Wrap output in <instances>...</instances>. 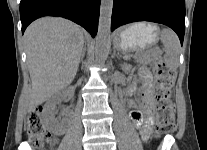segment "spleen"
Returning <instances> with one entry per match:
<instances>
[{
  "mask_svg": "<svg viewBox=\"0 0 207 150\" xmlns=\"http://www.w3.org/2000/svg\"><path fill=\"white\" fill-rule=\"evenodd\" d=\"M161 42L165 48V64L170 69H176L179 64L180 42L178 36L170 29H163Z\"/></svg>",
  "mask_w": 207,
  "mask_h": 150,
  "instance_id": "obj_1",
  "label": "spleen"
}]
</instances>
